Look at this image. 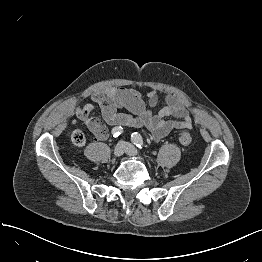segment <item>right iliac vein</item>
Instances as JSON below:
<instances>
[{"label":"right iliac vein","mask_w":262,"mask_h":262,"mask_svg":"<svg viewBox=\"0 0 262 262\" xmlns=\"http://www.w3.org/2000/svg\"><path fill=\"white\" fill-rule=\"evenodd\" d=\"M125 150H126L125 143L121 141L115 146L113 150V155L115 157H121L124 154Z\"/></svg>","instance_id":"63e3f726"}]
</instances>
